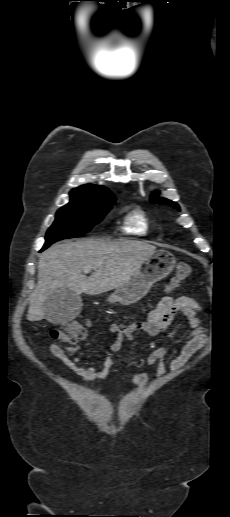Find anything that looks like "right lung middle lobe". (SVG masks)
I'll use <instances>...</instances> for the list:
<instances>
[{
  "label": "right lung middle lobe",
  "mask_w": 230,
  "mask_h": 517,
  "mask_svg": "<svg viewBox=\"0 0 230 517\" xmlns=\"http://www.w3.org/2000/svg\"><path fill=\"white\" fill-rule=\"evenodd\" d=\"M115 201L113 195L108 194L101 198L86 201H70L56 213V219L48 229L45 244L41 251L52 243L83 235L102 221Z\"/></svg>",
  "instance_id": "dd1d6c3e"
}]
</instances>
